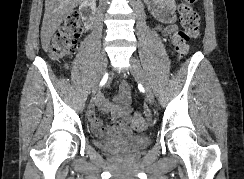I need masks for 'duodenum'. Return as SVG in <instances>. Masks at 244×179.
Instances as JSON below:
<instances>
[{
  "label": "duodenum",
  "mask_w": 244,
  "mask_h": 179,
  "mask_svg": "<svg viewBox=\"0 0 244 179\" xmlns=\"http://www.w3.org/2000/svg\"><path fill=\"white\" fill-rule=\"evenodd\" d=\"M95 6L96 2L94 0H84L80 7L81 17L91 25L93 24L94 14L96 11Z\"/></svg>",
  "instance_id": "obj_1"
}]
</instances>
